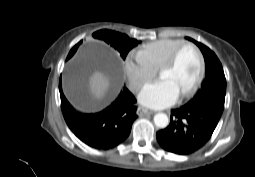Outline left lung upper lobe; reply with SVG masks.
I'll return each instance as SVG.
<instances>
[{
  "mask_svg": "<svg viewBox=\"0 0 255 177\" xmlns=\"http://www.w3.org/2000/svg\"><path fill=\"white\" fill-rule=\"evenodd\" d=\"M187 39L193 41L202 51L206 72L201 88L186 106L197 107L205 104H212L224 109L226 79L219 59L215 53L205 45L189 37H187Z\"/></svg>",
  "mask_w": 255,
  "mask_h": 177,
  "instance_id": "5c2ea615",
  "label": "left lung upper lobe"
}]
</instances>
